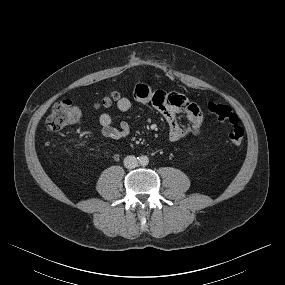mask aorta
<instances>
[{
    "mask_svg": "<svg viewBox=\"0 0 285 285\" xmlns=\"http://www.w3.org/2000/svg\"><path fill=\"white\" fill-rule=\"evenodd\" d=\"M149 163V158L147 156H140L139 157V164L142 166H146Z\"/></svg>",
    "mask_w": 285,
    "mask_h": 285,
    "instance_id": "1",
    "label": "aorta"
}]
</instances>
